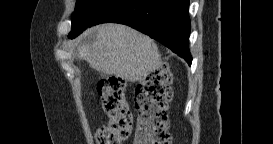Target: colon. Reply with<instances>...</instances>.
<instances>
[{
  "mask_svg": "<svg viewBox=\"0 0 273 144\" xmlns=\"http://www.w3.org/2000/svg\"><path fill=\"white\" fill-rule=\"evenodd\" d=\"M172 73L167 63L147 75L136 89L138 123L135 144H170L167 107L172 99ZM125 83L110 77L98 82L97 93L107 123L97 129L98 144H120L128 139L132 115L125 99Z\"/></svg>",
  "mask_w": 273,
  "mask_h": 144,
  "instance_id": "obj_1",
  "label": "colon"
}]
</instances>
